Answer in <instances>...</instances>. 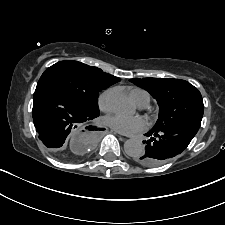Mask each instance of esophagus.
Returning <instances> with one entry per match:
<instances>
[{"instance_id":"esophagus-1","label":"esophagus","mask_w":225,"mask_h":225,"mask_svg":"<svg viewBox=\"0 0 225 225\" xmlns=\"http://www.w3.org/2000/svg\"><path fill=\"white\" fill-rule=\"evenodd\" d=\"M115 133L118 134V135H123L122 133H119L117 131H115ZM123 136H126V135H123Z\"/></svg>"}]
</instances>
